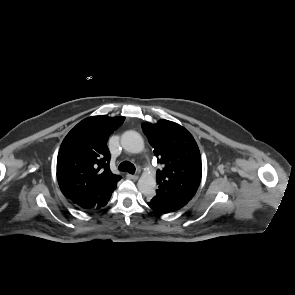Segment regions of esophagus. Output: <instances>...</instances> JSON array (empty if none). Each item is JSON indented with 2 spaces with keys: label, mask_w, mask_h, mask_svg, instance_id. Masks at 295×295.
Here are the masks:
<instances>
[{
  "label": "esophagus",
  "mask_w": 295,
  "mask_h": 295,
  "mask_svg": "<svg viewBox=\"0 0 295 295\" xmlns=\"http://www.w3.org/2000/svg\"><path fill=\"white\" fill-rule=\"evenodd\" d=\"M126 176H127L128 179H131V180H137L138 179V175L127 174Z\"/></svg>",
  "instance_id": "1"
}]
</instances>
